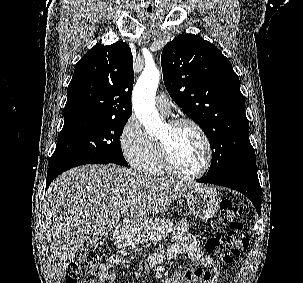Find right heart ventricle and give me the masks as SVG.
Here are the masks:
<instances>
[{"label":"right heart ventricle","instance_id":"obj_1","mask_svg":"<svg viewBox=\"0 0 303 283\" xmlns=\"http://www.w3.org/2000/svg\"><path fill=\"white\" fill-rule=\"evenodd\" d=\"M151 146L147 155L138 164V169L141 173L148 176H163L168 172L161 163L157 140L151 138Z\"/></svg>","mask_w":303,"mask_h":283}]
</instances>
